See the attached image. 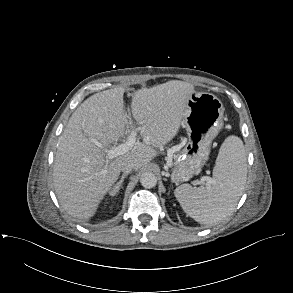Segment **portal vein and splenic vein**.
I'll list each match as a JSON object with an SVG mask.
<instances>
[{
	"label": "portal vein and splenic vein",
	"instance_id": "1",
	"mask_svg": "<svg viewBox=\"0 0 293 293\" xmlns=\"http://www.w3.org/2000/svg\"><path fill=\"white\" fill-rule=\"evenodd\" d=\"M136 129L132 128L130 134L128 135L126 141L118 146L112 147L110 149H104V154L106 155V157L110 160L113 159L117 156H120L126 152H128L129 150H131L134 145L136 144ZM204 180L206 181H210L209 177H205Z\"/></svg>",
	"mask_w": 293,
	"mask_h": 293
}]
</instances>
